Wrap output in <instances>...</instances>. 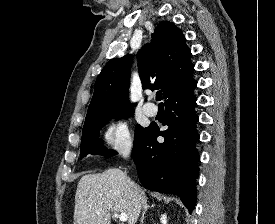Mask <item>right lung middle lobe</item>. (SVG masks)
<instances>
[{"label":"right lung middle lobe","instance_id":"obj_1","mask_svg":"<svg viewBox=\"0 0 275 224\" xmlns=\"http://www.w3.org/2000/svg\"><path fill=\"white\" fill-rule=\"evenodd\" d=\"M130 113L132 114L133 111L114 114L84 127L82 140H81V150H80L81 157H85L87 154L92 152L94 154L104 155L106 157L116 155L117 152L115 151L104 150L103 146L101 145V142L98 140L99 130L102 127V125H104L111 118H116L121 116L126 117ZM144 130L145 128L139 125L136 126L134 141L144 132Z\"/></svg>","mask_w":275,"mask_h":224}]
</instances>
